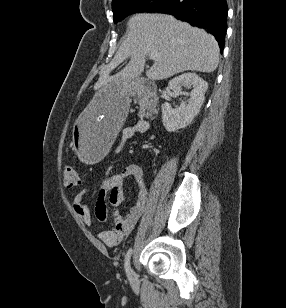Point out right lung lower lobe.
<instances>
[{
    "mask_svg": "<svg viewBox=\"0 0 286 308\" xmlns=\"http://www.w3.org/2000/svg\"><path fill=\"white\" fill-rule=\"evenodd\" d=\"M152 12L165 13L208 30L224 49L228 7L226 0H167Z\"/></svg>",
    "mask_w": 286,
    "mask_h": 308,
    "instance_id": "obj_1",
    "label": "right lung lower lobe"
}]
</instances>
